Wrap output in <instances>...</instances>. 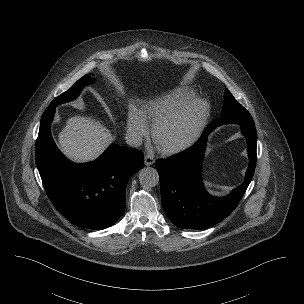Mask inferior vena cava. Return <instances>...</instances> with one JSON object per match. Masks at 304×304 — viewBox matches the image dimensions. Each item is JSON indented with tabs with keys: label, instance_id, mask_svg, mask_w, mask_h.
<instances>
[{
	"label": "inferior vena cava",
	"instance_id": "1",
	"mask_svg": "<svg viewBox=\"0 0 304 304\" xmlns=\"http://www.w3.org/2000/svg\"><path fill=\"white\" fill-rule=\"evenodd\" d=\"M126 143L131 147H139L142 144V135L135 131H128L126 134Z\"/></svg>",
	"mask_w": 304,
	"mask_h": 304
}]
</instances>
